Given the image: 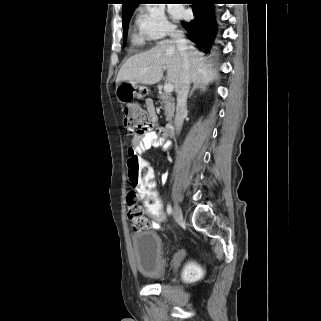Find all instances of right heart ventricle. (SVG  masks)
I'll use <instances>...</instances> for the list:
<instances>
[{"label": "right heart ventricle", "instance_id": "e07e8e85", "mask_svg": "<svg viewBox=\"0 0 321 321\" xmlns=\"http://www.w3.org/2000/svg\"><path fill=\"white\" fill-rule=\"evenodd\" d=\"M132 44L135 46H143L145 45L147 38L143 36L141 33H133L131 37Z\"/></svg>", "mask_w": 321, "mask_h": 321}]
</instances>
